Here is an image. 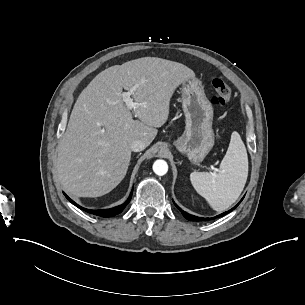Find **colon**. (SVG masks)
<instances>
[{"label":"colon","mask_w":305,"mask_h":305,"mask_svg":"<svg viewBox=\"0 0 305 305\" xmlns=\"http://www.w3.org/2000/svg\"><path fill=\"white\" fill-rule=\"evenodd\" d=\"M212 87L215 94L211 97V103L215 107H223L230 103L232 94L228 84L219 76L212 79Z\"/></svg>","instance_id":"5ec220e1"}]
</instances>
